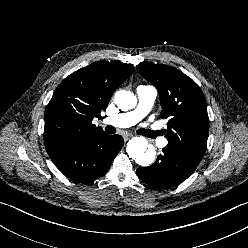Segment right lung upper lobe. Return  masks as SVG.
I'll list each match as a JSON object with an SVG mask.
<instances>
[{
	"instance_id": "obj_1",
	"label": "right lung upper lobe",
	"mask_w": 248,
	"mask_h": 248,
	"mask_svg": "<svg viewBox=\"0 0 248 248\" xmlns=\"http://www.w3.org/2000/svg\"><path fill=\"white\" fill-rule=\"evenodd\" d=\"M133 71L128 64L96 62L65 78L45 111L44 143L48 154L103 133L92 120L101 117L113 92Z\"/></svg>"
}]
</instances>
